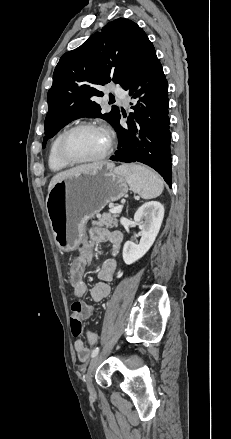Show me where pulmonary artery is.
<instances>
[{
	"label": "pulmonary artery",
	"mask_w": 231,
	"mask_h": 439,
	"mask_svg": "<svg viewBox=\"0 0 231 439\" xmlns=\"http://www.w3.org/2000/svg\"><path fill=\"white\" fill-rule=\"evenodd\" d=\"M114 93H115L119 98L126 100V94H125V92H124L123 90H121V89H115V90H114Z\"/></svg>",
	"instance_id": "e3ab8cb5"
}]
</instances>
